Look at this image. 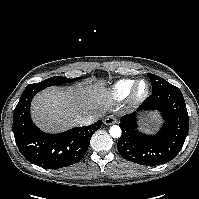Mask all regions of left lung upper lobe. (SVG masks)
Wrapping results in <instances>:
<instances>
[{"label":"left lung upper lobe","instance_id":"5c2ea615","mask_svg":"<svg viewBox=\"0 0 199 199\" xmlns=\"http://www.w3.org/2000/svg\"><path fill=\"white\" fill-rule=\"evenodd\" d=\"M147 75L151 80L152 94L160 93V92L168 91V90H173L177 88L176 86L170 84L169 82H167L166 80H164L163 78L157 75L150 74V73H148Z\"/></svg>","mask_w":199,"mask_h":199}]
</instances>
